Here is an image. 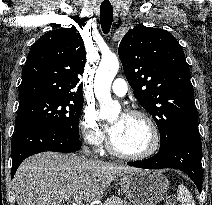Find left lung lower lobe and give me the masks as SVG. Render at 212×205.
Here are the masks:
<instances>
[{
    "label": "left lung lower lobe",
    "mask_w": 212,
    "mask_h": 205,
    "mask_svg": "<svg viewBox=\"0 0 212 205\" xmlns=\"http://www.w3.org/2000/svg\"><path fill=\"white\" fill-rule=\"evenodd\" d=\"M127 164L145 169L177 168L192 179L201 193L202 164L198 121L183 126L168 146L160 149L153 157Z\"/></svg>",
    "instance_id": "1"
}]
</instances>
